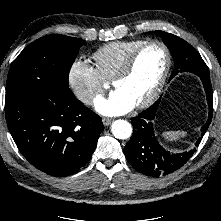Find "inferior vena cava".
I'll use <instances>...</instances> for the list:
<instances>
[{"label": "inferior vena cava", "mask_w": 221, "mask_h": 221, "mask_svg": "<svg viewBox=\"0 0 221 221\" xmlns=\"http://www.w3.org/2000/svg\"><path fill=\"white\" fill-rule=\"evenodd\" d=\"M94 95L92 93H86L83 97H82V101L86 104H88L92 99H93Z\"/></svg>", "instance_id": "obj_1"}]
</instances>
